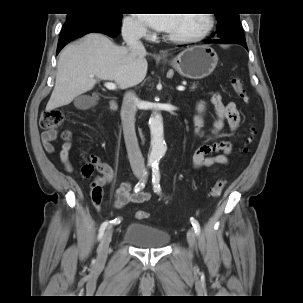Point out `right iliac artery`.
Returning <instances> with one entry per match:
<instances>
[{
	"label": "right iliac artery",
	"mask_w": 303,
	"mask_h": 303,
	"mask_svg": "<svg viewBox=\"0 0 303 303\" xmlns=\"http://www.w3.org/2000/svg\"><path fill=\"white\" fill-rule=\"evenodd\" d=\"M147 174V171H145L144 175ZM145 187V178L141 179L136 185H135V192L140 191L141 189H143ZM110 223H115V224H119L120 223V218H116L113 221H105L101 224L100 229H99V233H98V240H101V238L103 237L104 231L107 228V226Z\"/></svg>",
	"instance_id": "1"
}]
</instances>
